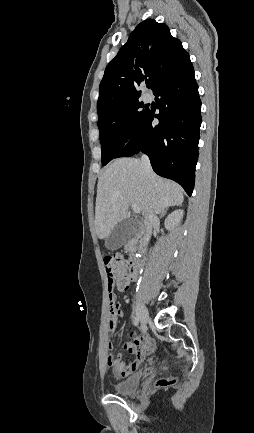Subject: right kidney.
Returning <instances> with one entry per match:
<instances>
[{
	"instance_id": "ca27d5eb",
	"label": "right kidney",
	"mask_w": 254,
	"mask_h": 433,
	"mask_svg": "<svg viewBox=\"0 0 254 433\" xmlns=\"http://www.w3.org/2000/svg\"><path fill=\"white\" fill-rule=\"evenodd\" d=\"M183 210L178 209L173 211L171 214L167 216L165 219V228L167 230H174V228L179 224L180 220L183 217Z\"/></svg>"
}]
</instances>
